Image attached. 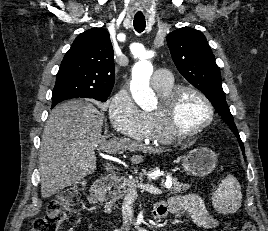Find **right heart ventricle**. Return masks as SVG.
I'll return each instance as SVG.
<instances>
[{
	"instance_id": "e07e8e85",
	"label": "right heart ventricle",
	"mask_w": 268,
	"mask_h": 231,
	"mask_svg": "<svg viewBox=\"0 0 268 231\" xmlns=\"http://www.w3.org/2000/svg\"><path fill=\"white\" fill-rule=\"evenodd\" d=\"M160 99H164L174 88L173 80L169 83L154 86ZM144 120L146 125V141L153 144L166 145L173 142L164 131L161 118L156 110L144 112Z\"/></svg>"
}]
</instances>
